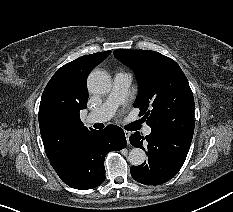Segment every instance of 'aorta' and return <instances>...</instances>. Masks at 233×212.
<instances>
[{"instance_id":"obj_1","label":"aorta","mask_w":233,"mask_h":212,"mask_svg":"<svg viewBox=\"0 0 233 212\" xmlns=\"http://www.w3.org/2000/svg\"><path fill=\"white\" fill-rule=\"evenodd\" d=\"M88 90L93 94H107L111 89V80L109 75L104 71H93L88 76ZM146 159L145 151L141 148H133L128 154V161L133 166H139Z\"/></svg>"}]
</instances>
